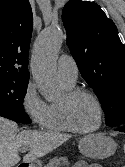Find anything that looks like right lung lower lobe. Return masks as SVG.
I'll list each match as a JSON object with an SVG mask.
<instances>
[{
	"mask_svg": "<svg viewBox=\"0 0 125 167\" xmlns=\"http://www.w3.org/2000/svg\"><path fill=\"white\" fill-rule=\"evenodd\" d=\"M0 116L11 119L15 122L31 123V120L25 111L16 110L15 108L8 107L4 104H0Z\"/></svg>",
	"mask_w": 125,
	"mask_h": 167,
	"instance_id": "98d812e1",
	"label": "right lung lower lobe"
}]
</instances>
